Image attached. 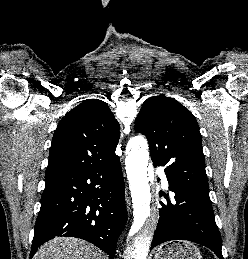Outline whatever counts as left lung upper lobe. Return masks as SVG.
I'll return each instance as SVG.
<instances>
[{"label":"left lung upper lobe","instance_id":"1","mask_svg":"<svg viewBox=\"0 0 248 259\" xmlns=\"http://www.w3.org/2000/svg\"><path fill=\"white\" fill-rule=\"evenodd\" d=\"M135 131L146 135L154 165L165 166L169 180L209 195L201 134L187 108L163 95L150 97L135 120Z\"/></svg>","mask_w":248,"mask_h":259}]
</instances>
